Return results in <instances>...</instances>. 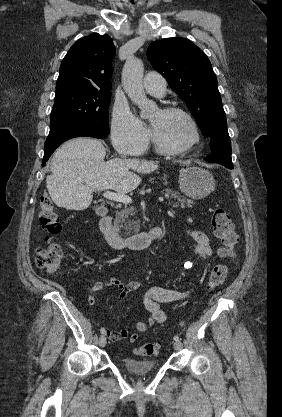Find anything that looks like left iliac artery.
<instances>
[{
  "label": "left iliac artery",
  "instance_id": "left-iliac-artery-1",
  "mask_svg": "<svg viewBox=\"0 0 282 417\" xmlns=\"http://www.w3.org/2000/svg\"><path fill=\"white\" fill-rule=\"evenodd\" d=\"M174 340H175V341H180V337H179V336H177V335H175V336H174Z\"/></svg>",
  "mask_w": 282,
  "mask_h": 417
}]
</instances>
